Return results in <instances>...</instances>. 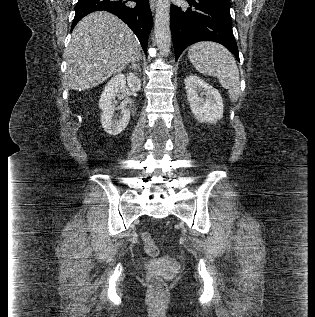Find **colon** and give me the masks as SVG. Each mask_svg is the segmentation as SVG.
<instances>
[{
	"label": "colon",
	"mask_w": 315,
	"mask_h": 317,
	"mask_svg": "<svg viewBox=\"0 0 315 317\" xmlns=\"http://www.w3.org/2000/svg\"><path fill=\"white\" fill-rule=\"evenodd\" d=\"M142 240L147 254L150 256H156L159 251L158 247L152 239L151 234L148 232L143 233ZM146 280L148 286L156 296H160L165 293L166 284L159 276L149 273L147 274Z\"/></svg>",
	"instance_id": "obj_1"
}]
</instances>
